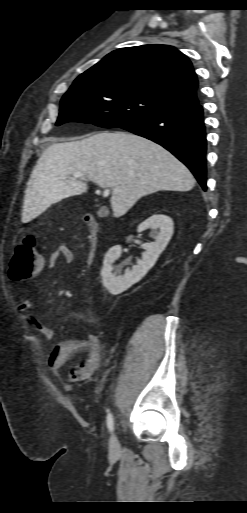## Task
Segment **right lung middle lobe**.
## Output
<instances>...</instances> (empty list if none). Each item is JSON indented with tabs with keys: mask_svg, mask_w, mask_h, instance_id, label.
<instances>
[{
	"mask_svg": "<svg viewBox=\"0 0 247 513\" xmlns=\"http://www.w3.org/2000/svg\"><path fill=\"white\" fill-rule=\"evenodd\" d=\"M167 108L161 101L126 89L83 88L73 83L61 99L56 125L77 121L121 128Z\"/></svg>",
	"mask_w": 247,
	"mask_h": 513,
	"instance_id": "dd1d6c3e",
	"label": "right lung middle lobe"
}]
</instances>
